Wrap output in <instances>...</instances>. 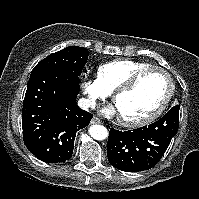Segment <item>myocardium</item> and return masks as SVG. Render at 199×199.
Instances as JSON below:
<instances>
[{
    "mask_svg": "<svg viewBox=\"0 0 199 199\" xmlns=\"http://www.w3.org/2000/svg\"><path fill=\"white\" fill-rule=\"evenodd\" d=\"M152 71L163 73L166 76L168 80V84H169L167 95L165 96L163 102L157 107L156 110H154L151 114L143 118L129 119L125 117H120V121L123 125L128 126V127H141V126L148 125L152 123L154 120H156L169 105L175 91L174 79L169 71H167L166 69L162 67L153 66V65L141 68L135 71L134 73H132L125 82H123L119 87H117L113 91V102L116 104L117 99L121 95L131 91L136 86V84L138 83V81L144 74L152 72Z\"/></svg>",
    "mask_w": 199,
    "mask_h": 199,
    "instance_id": "f54148a6",
    "label": "myocardium"
}]
</instances>
